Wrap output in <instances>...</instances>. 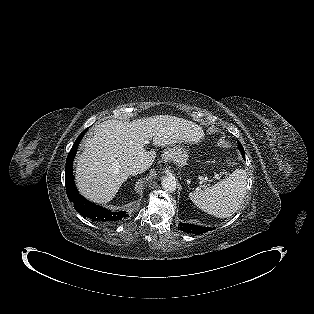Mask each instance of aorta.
Masks as SVG:
<instances>
[{
	"instance_id": "obj_1",
	"label": "aorta",
	"mask_w": 314,
	"mask_h": 314,
	"mask_svg": "<svg viewBox=\"0 0 314 314\" xmlns=\"http://www.w3.org/2000/svg\"><path fill=\"white\" fill-rule=\"evenodd\" d=\"M162 188L168 192H174L177 188L176 179L173 176H166L161 182Z\"/></svg>"
}]
</instances>
